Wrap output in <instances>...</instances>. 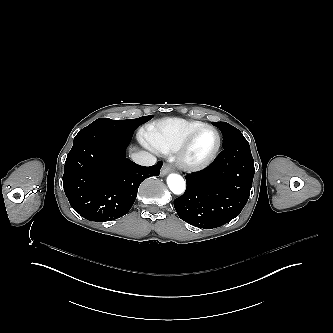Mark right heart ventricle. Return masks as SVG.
Returning <instances> with one entry per match:
<instances>
[{
	"label": "right heart ventricle",
	"mask_w": 333,
	"mask_h": 333,
	"mask_svg": "<svg viewBox=\"0 0 333 333\" xmlns=\"http://www.w3.org/2000/svg\"><path fill=\"white\" fill-rule=\"evenodd\" d=\"M200 120L169 118L145 126L139 140L146 148L162 155L177 151L183 138L193 129L203 125Z\"/></svg>",
	"instance_id": "1"
}]
</instances>
